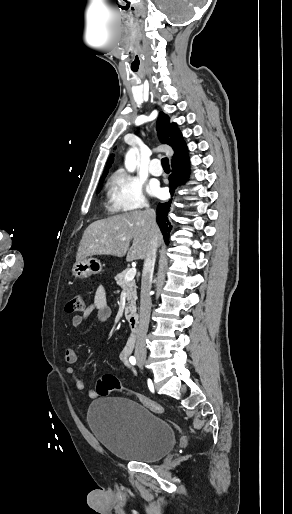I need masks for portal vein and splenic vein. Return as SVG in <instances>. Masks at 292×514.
I'll return each mask as SVG.
<instances>
[{
    "label": "portal vein and splenic vein",
    "mask_w": 292,
    "mask_h": 514,
    "mask_svg": "<svg viewBox=\"0 0 292 514\" xmlns=\"http://www.w3.org/2000/svg\"><path fill=\"white\" fill-rule=\"evenodd\" d=\"M136 268H130V270H128L126 276H125V280H127V282H130V280H133L134 276H136Z\"/></svg>",
    "instance_id": "obj_1"
}]
</instances>
